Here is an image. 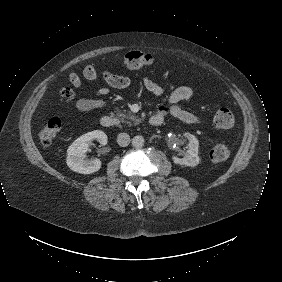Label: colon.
I'll use <instances>...</instances> for the list:
<instances>
[{
  "label": "colon",
  "instance_id": "5ec220e1",
  "mask_svg": "<svg viewBox=\"0 0 282 282\" xmlns=\"http://www.w3.org/2000/svg\"><path fill=\"white\" fill-rule=\"evenodd\" d=\"M153 62V56L149 52L141 50H132L123 58V64L132 70H138L144 66L150 65ZM72 94L70 89H64L62 96L70 97ZM235 125V117L232 111L228 108H220L216 111L214 117V126L219 131L231 129ZM61 128V120L58 117H52L46 121L40 131L39 140L45 144H52ZM211 159L214 163L223 162L230 156L229 148L225 143L217 142L211 148Z\"/></svg>",
  "mask_w": 282,
  "mask_h": 282
}]
</instances>
